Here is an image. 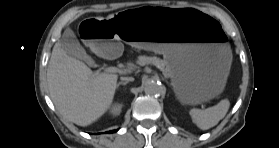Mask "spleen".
Segmentation results:
<instances>
[{"mask_svg":"<svg viewBox=\"0 0 279 148\" xmlns=\"http://www.w3.org/2000/svg\"><path fill=\"white\" fill-rule=\"evenodd\" d=\"M230 103L227 99L221 100L217 105L206 110L191 109L190 116L193 122L202 130H207L219 123L229 109Z\"/></svg>","mask_w":279,"mask_h":148,"instance_id":"spleen-1","label":"spleen"}]
</instances>
